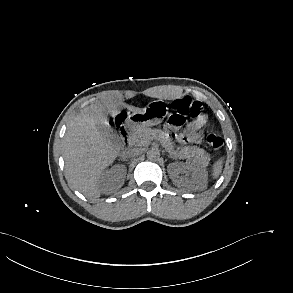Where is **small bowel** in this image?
Returning <instances> with one entry per match:
<instances>
[{"label":"small bowel","instance_id":"c3829d8e","mask_svg":"<svg viewBox=\"0 0 293 293\" xmlns=\"http://www.w3.org/2000/svg\"><path fill=\"white\" fill-rule=\"evenodd\" d=\"M206 118L205 116H201L194 121H192L186 132L184 133V136L182 138H178L179 141H187L194 144H199L202 142V128L205 125Z\"/></svg>","mask_w":293,"mask_h":293}]
</instances>
